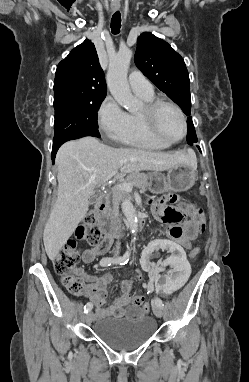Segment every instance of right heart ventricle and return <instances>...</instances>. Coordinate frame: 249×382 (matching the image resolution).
<instances>
[{"mask_svg":"<svg viewBox=\"0 0 249 382\" xmlns=\"http://www.w3.org/2000/svg\"><path fill=\"white\" fill-rule=\"evenodd\" d=\"M137 95L146 103L154 100L153 94ZM128 119V131L120 140H118L119 142L128 146L148 150H162L170 146V144L164 143L150 134L140 116V113H130L128 114Z\"/></svg>","mask_w":249,"mask_h":382,"instance_id":"e07e8e85","label":"right heart ventricle"}]
</instances>
